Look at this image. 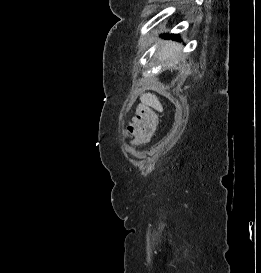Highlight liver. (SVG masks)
<instances>
[{"label": "liver", "instance_id": "1", "mask_svg": "<svg viewBox=\"0 0 261 273\" xmlns=\"http://www.w3.org/2000/svg\"><path fill=\"white\" fill-rule=\"evenodd\" d=\"M182 46L174 41H169L161 48L157 53V58L160 62H166L169 68H174L179 59V52ZM141 102L144 105L154 108L156 111L162 112L163 107L156 97V95L151 93H145L141 95Z\"/></svg>", "mask_w": 261, "mask_h": 273}]
</instances>
